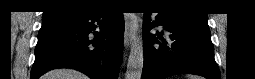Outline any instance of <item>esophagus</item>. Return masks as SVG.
Returning a JSON list of instances; mask_svg holds the SVG:
<instances>
[{
	"mask_svg": "<svg viewBox=\"0 0 255 79\" xmlns=\"http://www.w3.org/2000/svg\"><path fill=\"white\" fill-rule=\"evenodd\" d=\"M137 29L136 18L129 13L125 14V37L124 44L127 48L135 37V31Z\"/></svg>",
	"mask_w": 255,
	"mask_h": 79,
	"instance_id": "34e87169",
	"label": "esophagus"
}]
</instances>
